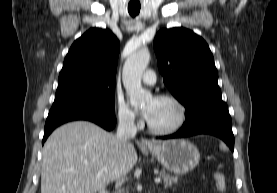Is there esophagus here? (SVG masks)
Wrapping results in <instances>:
<instances>
[{
	"instance_id": "34e87169",
	"label": "esophagus",
	"mask_w": 277,
	"mask_h": 193,
	"mask_svg": "<svg viewBox=\"0 0 277 193\" xmlns=\"http://www.w3.org/2000/svg\"><path fill=\"white\" fill-rule=\"evenodd\" d=\"M140 144L143 145V146H151L153 143L148 139L142 138L140 140Z\"/></svg>"
}]
</instances>
